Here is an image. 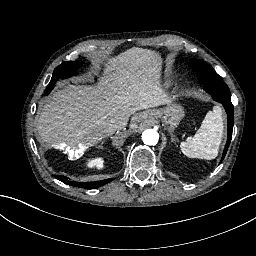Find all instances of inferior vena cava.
<instances>
[{"mask_svg":"<svg viewBox=\"0 0 256 256\" xmlns=\"http://www.w3.org/2000/svg\"><path fill=\"white\" fill-rule=\"evenodd\" d=\"M126 123L123 122L121 124H118V125H114L113 127H111L109 129L110 132H115L117 129H122L123 127H125Z\"/></svg>","mask_w":256,"mask_h":256,"instance_id":"1","label":"inferior vena cava"}]
</instances>
